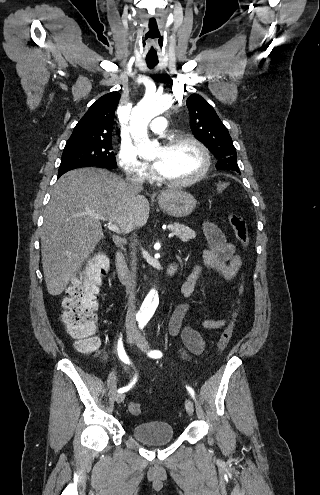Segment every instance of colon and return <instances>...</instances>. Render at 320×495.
I'll return each instance as SVG.
<instances>
[{"instance_id":"5ec220e1","label":"colon","mask_w":320,"mask_h":495,"mask_svg":"<svg viewBox=\"0 0 320 495\" xmlns=\"http://www.w3.org/2000/svg\"><path fill=\"white\" fill-rule=\"evenodd\" d=\"M230 183L222 181L217 184L218 194H223L229 188ZM229 222L234 231L237 242L243 249L249 245V234L244 217L238 213L229 214ZM110 263L108 257L99 252L88 262L86 268L72 282L67 289V296L63 300L62 321L71 337L76 340L77 348L83 353H93L98 349L99 341L95 336L98 308V292L108 273ZM244 291V280L241 279L238 292ZM237 313L234 312L231 320L221 332L217 347L218 351H224L233 335ZM142 406L139 402H131L129 411L133 415L141 413Z\"/></svg>"}]
</instances>
